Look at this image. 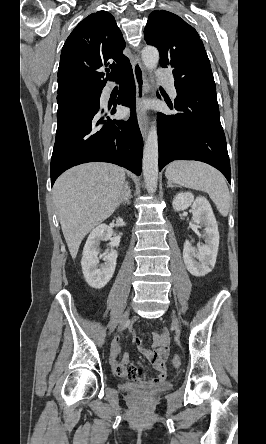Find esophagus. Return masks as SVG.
I'll return each instance as SVG.
<instances>
[{"label":"esophagus","instance_id":"34e87169","mask_svg":"<svg viewBox=\"0 0 266 444\" xmlns=\"http://www.w3.org/2000/svg\"><path fill=\"white\" fill-rule=\"evenodd\" d=\"M133 73L136 84V99L138 105H140L148 91V87H147L146 75L139 57H136L134 59ZM138 123L143 138H146L148 132V117L146 116L145 113L139 112Z\"/></svg>","mask_w":266,"mask_h":444}]
</instances>
